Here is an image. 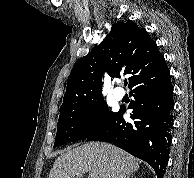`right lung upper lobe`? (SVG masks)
Segmentation results:
<instances>
[{
	"mask_svg": "<svg viewBox=\"0 0 194 178\" xmlns=\"http://www.w3.org/2000/svg\"><path fill=\"white\" fill-rule=\"evenodd\" d=\"M168 69L156 42L144 28L127 21L115 24L107 37L73 66L60 113L102 97V74H128L129 88L150 82Z\"/></svg>",
	"mask_w": 194,
	"mask_h": 178,
	"instance_id": "cb5924a9",
	"label": "right lung upper lobe"
}]
</instances>
